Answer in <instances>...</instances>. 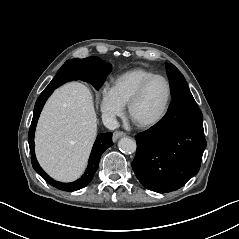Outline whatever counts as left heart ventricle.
<instances>
[{"instance_id":"obj_1","label":"left heart ventricle","mask_w":239,"mask_h":239,"mask_svg":"<svg viewBox=\"0 0 239 239\" xmlns=\"http://www.w3.org/2000/svg\"><path fill=\"white\" fill-rule=\"evenodd\" d=\"M168 97V87L164 80L153 81L146 89L134 110L136 119L152 121L163 111Z\"/></svg>"}]
</instances>
